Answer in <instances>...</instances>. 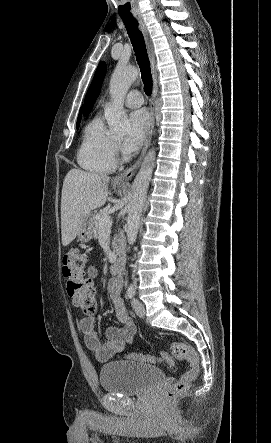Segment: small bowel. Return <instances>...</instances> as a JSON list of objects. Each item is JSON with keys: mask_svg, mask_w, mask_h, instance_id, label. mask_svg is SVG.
<instances>
[{"mask_svg": "<svg viewBox=\"0 0 271 443\" xmlns=\"http://www.w3.org/2000/svg\"><path fill=\"white\" fill-rule=\"evenodd\" d=\"M97 274L95 268L88 269V277L94 278ZM121 281L113 279L108 285V292L112 300L116 317L121 327H109L106 330V341L102 342L95 327L92 317H84L80 320L79 326L84 334L85 344L98 361L104 362L112 356L120 353L132 342L136 332L125 305L120 298Z\"/></svg>", "mask_w": 271, "mask_h": 443, "instance_id": "small-bowel-1", "label": "small bowel"}]
</instances>
